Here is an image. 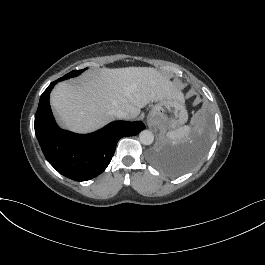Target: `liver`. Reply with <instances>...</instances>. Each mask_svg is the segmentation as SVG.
<instances>
[{
  "mask_svg": "<svg viewBox=\"0 0 265 265\" xmlns=\"http://www.w3.org/2000/svg\"><path fill=\"white\" fill-rule=\"evenodd\" d=\"M163 98L184 102L183 93L155 68L126 67L86 73L81 85L60 82L50 102L63 128L87 133L114 120L115 110L135 119L141 108Z\"/></svg>",
  "mask_w": 265,
  "mask_h": 265,
  "instance_id": "obj_1",
  "label": "liver"
}]
</instances>
